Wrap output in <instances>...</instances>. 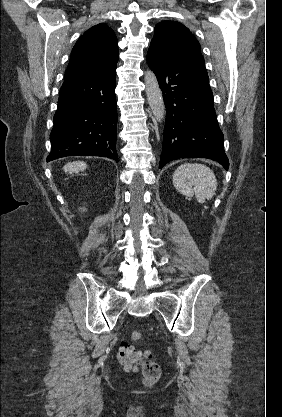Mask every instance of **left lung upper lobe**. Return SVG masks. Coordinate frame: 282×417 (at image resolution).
Masks as SVG:
<instances>
[{
    "label": "left lung upper lobe",
    "mask_w": 282,
    "mask_h": 417,
    "mask_svg": "<svg viewBox=\"0 0 282 417\" xmlns=\"http://www.w3.org/2000/svg\"><path fill=\"white\" fill-rule=\"evenodd\" d=\"M152 46L166 51L201 55L200 44L183 24L165 20L155 26Z\"/></svg>",
    "instance_id": "5c2ea615"
}]
</instances>
